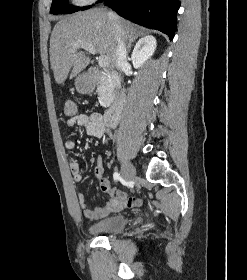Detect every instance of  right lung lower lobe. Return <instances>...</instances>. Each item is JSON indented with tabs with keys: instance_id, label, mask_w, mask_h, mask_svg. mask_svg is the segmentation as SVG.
<instances>
[{
	"instance_id": "right-lung-lower-lobe-1",
	"label": "right lung lower lobe",
	"mask_w": 247,
	"mask_h": 280,
	"mask_svg": "<svg viewBox=\"0 0 247 280\" xmlns=\"http://www.w3.org/2000/svg\"><path fill=\"white\" fill-rule=\"evenodd\" d=\"M106 4L126 19L167 34L169 40L175 35L178 0H107Z\"/></svg>"
}]
</instances>
